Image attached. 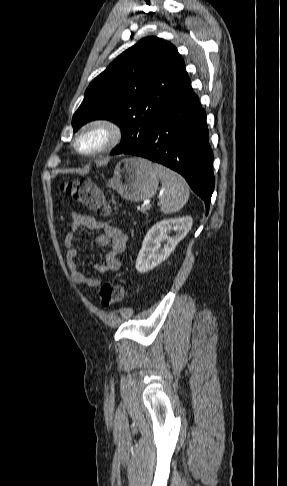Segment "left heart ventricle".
<instances>
[{
    "mask_svg": "<svg viewBox=\"0 0 287 486\" xmlns=\"http://www.w3.org/2000/svg\"><path fill=\"white\" fill-rule=\"evenodd\" d=\"M104 141V135L95 131L83 137L80 141V147L85 150H91L100 146Z\"/></svg>",
    "mask_w": 287,
    "mask_h": 486,
    "instance_id": "left-heart-ventricle-1",
    "label": "left heart ventricle"
}]
</instances>
